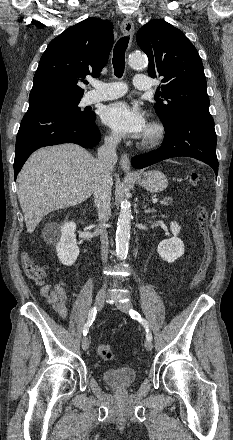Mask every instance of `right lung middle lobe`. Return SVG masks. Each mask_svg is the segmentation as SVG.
Listing matches in <instances>:
<instances>
[{"label": "right lung middle lobe", "mask_w": 233, "mask_h": 440, "mask_svg": "<svg viewBox=\"0 0 233 440\" xmlns=\"http://www.w3.org/2000/svg\"><path fill=\"white\" fill-rule=\"evenodd\" d=\"M81 98L55 99L43 103L29 105V109H56L84 120H90L95 116L94 112L81 111L78 107Z\"/></svg>", "instance_id": "1"}]
</instances>
